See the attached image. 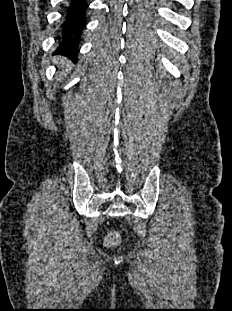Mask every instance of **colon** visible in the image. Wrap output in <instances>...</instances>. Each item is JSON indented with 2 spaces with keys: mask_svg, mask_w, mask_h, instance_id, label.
<instances>
[{
  "mask_svg": "<svg viewBox=\"0 0 232 311\" xmlns=\"http://www.w3.org/2000/svg\"><path fill=\"white\" fill-rule=\"evenodd\" d=\"M120 242V236L117 232H110L105 238V245L108 247H115Z\"/></svg>",
  "mask_w": 232,
  "mask_h": 311,
  "instance_id": "obj_1",
  "label": "colon"
}]
</instances>
